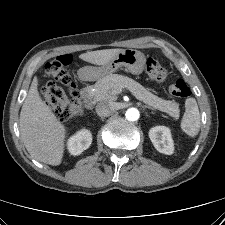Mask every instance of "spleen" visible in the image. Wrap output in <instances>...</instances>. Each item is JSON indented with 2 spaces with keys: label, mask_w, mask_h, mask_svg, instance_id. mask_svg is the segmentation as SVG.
<instances>
[{
  "label": "spleen",
  "mask_w": 225,
  "mask_h": 225,
  "mask_svg": "<svg viewBox=\"0 0 225 225\" xmlns=\"http://www.w3.org/2000/svg\"><path fill=\"white\" fill-rule=\"evenodd\" d=\"M185 113L180 123V128L190 137L198 135L201 124L199 108L195 98H188L185 101Z\"/></svg>",
  "instance_id": "obj_1"
}]
</instances>
